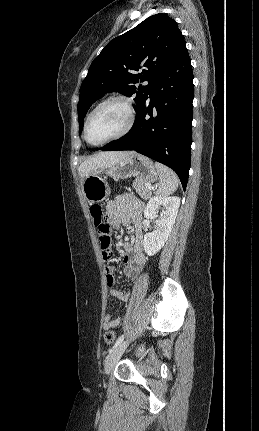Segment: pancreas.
<instances>
[{"label": "pancreas", "mask_w": 259, "mask_h": 431, "mask_svg": "<svg viewBox=\"0 0 259 431\" xmlns=\"http://www.w3.org/2000/svg\"><path fill=\"white\" fill-rule=\"evenodd\" d=\"M133 188L139 194V196L145 200H148L151 197V190L146 187V182L136 179L133 182Z\"/></svg>", "instance_id": "pancreas-1"}]
</instances>
